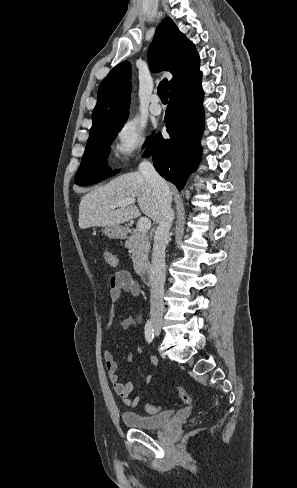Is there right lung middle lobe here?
Listing matches in <instances>:
<instances>
[{"label": "right lung middle lobe", "mask_w": 297, "mask_h": 488, "mask_svg": "<svg viewBox=\"0 0 297 488\" xmlns=\"http://www.w3.org/2000/svg\"><path fill=\"white\" fill-rule=\"evenodd\" d=\"M123 126L103 127L89 136L80 167L74 182L84 186L100 182L117 171L111 172L107 166L106 157L110 152V145ZM150 139L147 140L146 146Z\"/></svg>", "instance_id": "obj_1"}]
</instances>
